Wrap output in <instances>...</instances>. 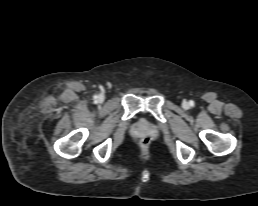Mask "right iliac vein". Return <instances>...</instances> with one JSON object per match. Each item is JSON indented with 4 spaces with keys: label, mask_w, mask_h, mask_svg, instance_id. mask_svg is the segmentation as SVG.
<instances>
[{
    "label": "right iliac vein",
    "mask_w": 258,
    "mask_h": 206,
    "mask_svg": "<svg viewBox=\"0 0 258 206\" xmlns=\"http://www.w3.org/2000/svg\"><path fill=\"white\" fill-rule=\"evenodd\" d=\"M98 101L99 102H103L104 101V96L103 95H99L98 96Z\"/></svg>",
    "instance_id": "obj_1"
}]
</instances>
